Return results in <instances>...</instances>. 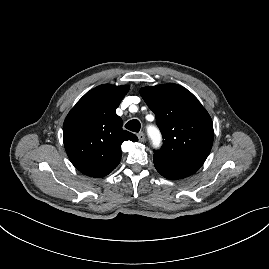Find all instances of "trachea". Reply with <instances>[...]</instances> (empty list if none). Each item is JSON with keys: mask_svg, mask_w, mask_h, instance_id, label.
Listing matches in <instances>:
<instances>
[{"mask_svg": "<svg viewBox=\"0 0 269 269\" xmlns=\"http://www.w3.org/2000/svg\"><path fill=\"white\" fill-rule=\"evenodd\" d=\"M141 124L137 119L130 120L126 123L125 128L132 132H139Z\"/></svg>", "mask_w": 269, "mask_h": 269, "instance_id": "trachea-1", "label": "trachea"}]
</instances>
